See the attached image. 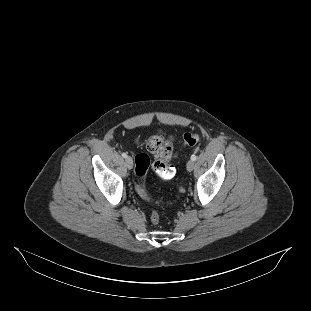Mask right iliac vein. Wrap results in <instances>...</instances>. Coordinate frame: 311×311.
<instances>
[{
	"label": "right iliac vein",
	"instance_id": "right-iliac-vein-1",
	"mask_svg": "<svg viewBox=\"0 0 311 311\" xmlns=\"http://www.w3.org/2000/svg\"><path fill=\"white\" fill-rule=\"evenodd\" d=\"M125 162H126V166L129 168V169H132L133 168V159L131 157H126L125 159Z\"/></svg>",
	"mask_w": 311,
	"mask_h": 311
}]
</instances>
